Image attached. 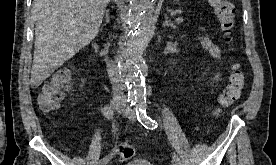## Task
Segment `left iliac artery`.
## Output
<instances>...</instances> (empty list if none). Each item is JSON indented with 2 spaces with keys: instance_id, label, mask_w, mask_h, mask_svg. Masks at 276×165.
Listing matches in <instances>:
<instances>
[{
  "instance_id": "obj_1",
  "label": "left iliac artery",
  "mask_w": 276,
  "mask_h": 165,
  "mask_svg": "<svg viewBox=\"0 0 276 165\" xmlns=\"http://www.w3.org/2000/svg\"><path fill=\"white\" fill-rule=\"evenodd\" d=\"M136 115L138 121L147 129H155L157 128V123L152 120L146 114V101L138 100L136 103ZM174 165H181L179 157L174 153L173 156Z\"/></svg>"
}]
</instances>
